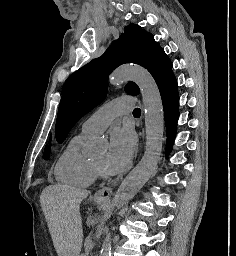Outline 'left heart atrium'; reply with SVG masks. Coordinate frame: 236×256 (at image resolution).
I'll return each mask as SVG.
<instances>
[{"label":"left heart atrium","instance_id":"39dd6f15","mask_svg":"<svg viewBox=\"0 0 236 256\" xmlns=\"http://www.w3.org/2000/svg\"><path fill=\"white\" fill-rule=\"evenodd\" d=\"M135 148V135L131 129L118 128L111 133L106 156V167L112 173L122 171L129 163Z\"/></svg>","mask_w":236,"mask_h":256}]
</instances>
